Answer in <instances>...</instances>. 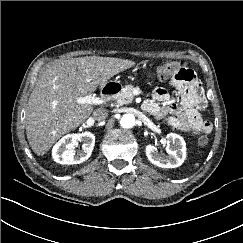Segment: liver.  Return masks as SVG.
Masks as SVG:
<instances>
[{
  "label": "liver",
  "mask_w": 243,
  "mask_h": 243,
  "mask_svg": "<svg viewBox=\"0 0 243 243\" xmlns=\"http://www.w3.org/2000/svg\"><path fill=\"white\" fill-rule=\"evenodd\" d=\"M134 62L113 57L86 56L54 63L39 77L26 109V135L37 155H44L64 134L77 128L92 113L91 104L78 98L103 87Z\"/></svg>",
  "instance_id": "6515ba94"
}]
</instances>
